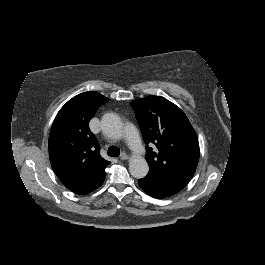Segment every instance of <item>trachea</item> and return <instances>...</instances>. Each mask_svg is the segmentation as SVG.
I'll return each mask as SVG.
<instances>
[{
	"instance_id": "trachea-1",
	"label": "trachea",
	"mask_w": 265,
	"mask_h": 265,
	"mask_svg": "<svg viewBox=\"0 0 265 265\" xmlns=\"http://www.w3.org/2000/svg\"><path fill=\"white\" fill-rule=\"evenodd\" d=\"M107 153L111 157H118L120 155V149L116 146H110L107 150Z\"/></svg>"
}]
</instances>
